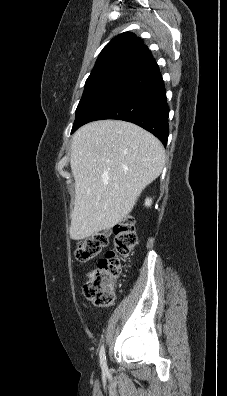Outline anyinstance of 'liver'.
Wrapping results in <instances>:
<instances>
[{"instance_id":"obj_1","label":"liver","mask_w":227,"mask_h":396,"mask_svg":"<svg viewBox=\"0 0 227 396\" xmlns=\"http://www.w3.org/2000/svg\"><path fill=\"white\" fill-rule=\"evenodd\" d=\"M164 164L161 142L133 123L101 120L79 128L70 155L75 180L71 239L88 238L125 219Z\"/></svg>"}]
</instances>
